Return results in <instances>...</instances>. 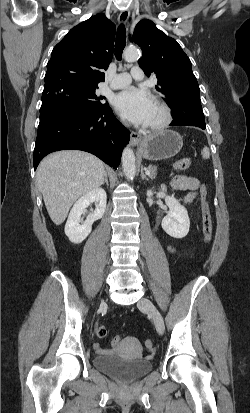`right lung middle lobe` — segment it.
<instances>
[{"label":"right lung middle lobe","mask_w":250,"mask_h":413,"mask_svg":"<svg viewBox=\"0 0 250 413\" xmlns=\"http://www.w3.org/2000/svg\"><path fill=\"white\" fill-rule=\"evenodd\" d=\"M98 87L66 86L52 90L42 95L40 112L55 104H71L75 106L101 109L107 107L103 103V96H97L95 91Z\"/></svg>","instance_id":"dd1d6c3e"}]
</instances>
